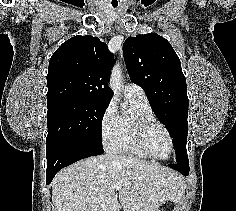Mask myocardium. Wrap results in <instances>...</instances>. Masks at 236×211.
Masks as SVG:
<instances>
[{
  "label": "myocardium",
  "instance_id": "f54148a6",
  "mask_svg": "<svg viewBox=\"0 0 236 211\" xmlns=\"http://www.w3.org/2000/svg\"><path fill=\"white\" fill-rule=\"evenodd\" d=\"M154 127H160L161 129H163V131L165 132V134L169 139L170 151L166 156L154 155L149 151H147L144 147V138L146 136V133ZM130 128H131L130 132L131 143L135 147V149L144 157H149L157 160H166L172 155L174 151L173 137L168 128L160 121L136 116L131 120Z\"/></svg>",
  "mask_w": 236,
  "mask_h": 211
}]
</instances>
